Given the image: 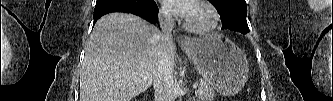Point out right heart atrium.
I'll return each instance as SVG.
<instances>
[{
  "label": "right heart atrium",
  "mask_w": 333,
  "mask_h": 101,
  "mask_svg": "<svg viewBox=\"0 0 333 101\" xmlns=\"http://www.w3.org/2000/svg\"><path fill=\"white\" fill-rule=\"evenodd\" d=\"M160 13L163 19H169L171 16L170 11L167 8H163Z\"/></svg>",
  "instance_id": "right-heart-atrium-1"
}]
</instances>
